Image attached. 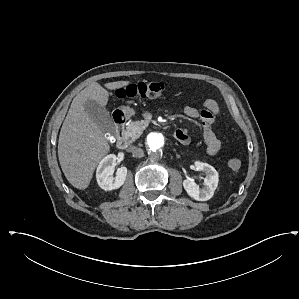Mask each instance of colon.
<instances>
[{
  "mask_svg": "<svg viewBox=\"0 0 299 299\" xmlns=\"http://www.w3.org/2000/svg\"><path fill=\"white\" fill-rule=\"evenodd\" d=\"M164 90L163 83L143 81L120 87L116 91V96L120 99L125 98H156ZM242 163L238 158H232L228 161L231 170H239Z\"/></svg>",
  "mask_w": 299,
  "mask_h": 299,
  "instance_id": "obj_1",
  "label": "colon"
}]
</instances>
